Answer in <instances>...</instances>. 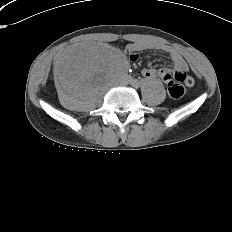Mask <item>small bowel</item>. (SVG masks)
<instances>
[{"label":"small bowel","instance_id":"c3829d8e","mask_svg":"<svg viewBox=\"0 0 232 232\" xmlns=\"http://www.w3.org/2000/svg\"><path fill=\"white\" fill-rule=\"evenodd\" d=\"M148 49H155V50H162L167 52L170 55L171 62L173 65V71L168 68H161L158 70L155 69H144L142 71V75L146 79H152L158 76L161 80L167 81L172 79L174 75L183 74L187 71V65L184 61L183 57L181 56L180 52L175 48L170 46L164 45L159 42H154L150 40H135L128 45V50L132 53V61H136L137 56L135 53L148 50Z\"/></svg>","mask_w":232,"mask_h":232}]
</instances>
